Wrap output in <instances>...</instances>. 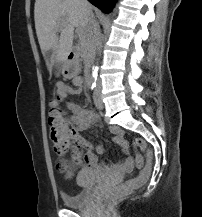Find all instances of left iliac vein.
<instances>
[{"instance_id": "1", "label": "left iliac vein", "mask_w": 202, "mask_h": 217, "mask_svg": "<svg viewBox=\"0 0 202 217\" xmlns=\"http://www.w3.org/2000/svg\"><path fill=\"white\" fill-rule=\"evenodd\" d=\"M94 104L98 109H103L104 105L100 97V90L97 88L94 92Z\"/></svg>"}]
</instances>
